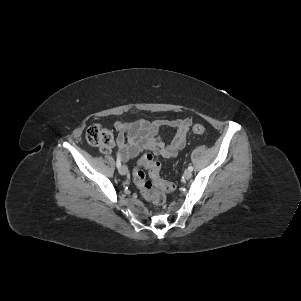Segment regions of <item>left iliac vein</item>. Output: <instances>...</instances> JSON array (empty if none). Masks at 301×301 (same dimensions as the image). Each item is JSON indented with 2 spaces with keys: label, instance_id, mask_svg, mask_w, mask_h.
<instances>
[{
  "label": "left iliac vein",
  "instance_id": "1",
  "mask_svg": "<svg viewBox=\"0 0 301 301\" xmlns=\"http://www.w3.org/2000/svg\"><path fill=\"white\" fill-rule=\"evenodd\" d=\"M184 176H185V178L189 179V178H191V176H192V172L189 171V170H185V171H184Z\"/></svg>",
  "mask_w": 301,
  "mask_h": 301
}]
</instances>
